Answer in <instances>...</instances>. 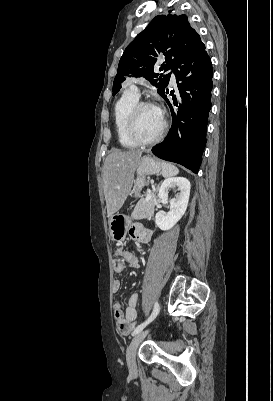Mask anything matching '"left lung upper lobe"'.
Returning <instances> with one entry per match:
<instances>
[{"mask_svg":"<svg viewBox=\"0 0 273 401\" xmlns=\"http://www.w3.org/2000/svg\"><path fill=\"white\" fill-rule=\"evenodd\" d=\"M199 34L190 26L186 15L166 14L156 16L125 49L113 82V96L121 89L126 77L144 76L162 96L169 83L167 75L154 72L157 57L163 55L160 71L172 69L173 64L193 44Z\"/></svg>","mask_w":273,"mask_h":401,"instance_id":"1","label":"left lung upper lobe"}]
</instances>
